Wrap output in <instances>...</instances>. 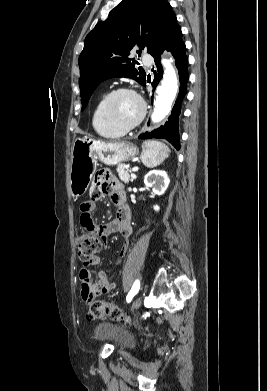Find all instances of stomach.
<instances>
[{
    "label": "stomach",
    "mask_w": 267,
    "mask_h": 391,
    "mask_svg": "<svg viewBox=\"0 0 267 391\" xmlns=\"http://www.w3.org/2000/svg\"><path fill=\"white\" fill-rule=\"evenodd\" d=\"M138 153V148L127 142L105 143L88 137L76 139L71 152V195L78 198L87 191L98 161L116 165L136 157Z\"/></svg>",
    "instance_id": "1"
}]
</instances>
